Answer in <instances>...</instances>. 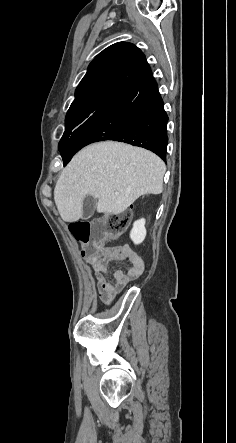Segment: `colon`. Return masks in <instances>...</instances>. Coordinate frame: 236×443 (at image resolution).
Masks as SVG:
<instances>
[{
  "mask_svg": "<svg viewBox=\"0 0 236 443\" xmlns=\"http://www.w3.org/2000/svg\"><path fill=\"white\" fill-rule=\"evenodd\" d=\"M129 219V214H119L94 222L77 220L69 229L75 240L83 245V256L93 260L99 256L104 243L117 240L127 231Z\"/></svg>",
  "mask_w": 236,
  "mask_h": 443,
  "instance_id": "colon-1",
  "label": "colon"
}]
</instances>
